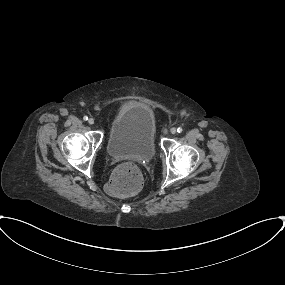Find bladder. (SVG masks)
<instances>
[{"label": "bladder", "mask_w": 285, "mask_h": 285, "mask_svg": "<svg viewBox=\"0 0 285 285\" xmlns=\"http://www.w3.org/2000/svg\"><path fill=\"white\" fill-rule=\"evenodd\" d=\"M107 151L112 157H154L155 126L144 105L129 104L120 112L109 128Z\"/></svg>", "instance_id": "31cf9c89"}]
</instances>
